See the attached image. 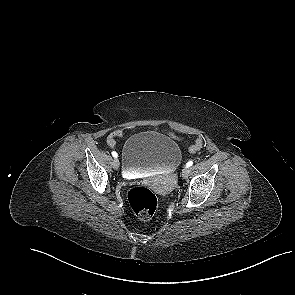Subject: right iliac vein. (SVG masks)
Instances as JSON below:
<instances>
[{
  "label": "right iliac vein",
  "mask_w": 295,
  "mask_h": 295,
  "mask_svg": "<svg viewBox=\"0 0 295 295\" xmlns=\"http://www.w3.org/2000/svg\"><path fill=\"white\" fill-rule=\"evenodd\" d=\"M119 160L117 158H115L112 162V166L115 170H117L119 168Z\"/></svg>",
  "instance_id": "obj_1"
}]
</instances>
